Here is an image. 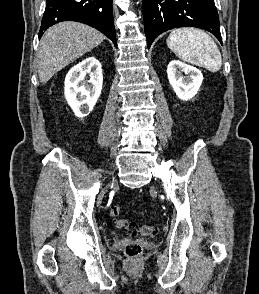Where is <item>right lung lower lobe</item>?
Wrapping results in <instances>:
<instances>
[{
  "mask_svg": "<svg viewBox=\"0 0 259 294\" xmlns=\"http://www.w3.org/2000/svg\"><path fill=\"white\" fill-rule=\"evenodd\" d=\"M67 20L96 28L116 46L112 0H46L39 38L48 27Z\"/></svg>",
  "mask_w": 259,
  "mask_h": 294,
  "instance_id": "right-lung-lower-lobe-1",
  "label": "right lung lower lobe"
}]
</instances>
